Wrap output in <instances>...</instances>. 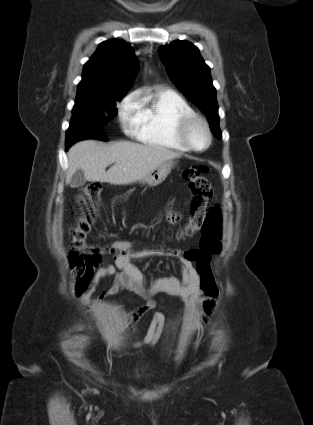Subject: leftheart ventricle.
<instances>
[{
  "mask_svg": "<svg viewBox=\"0 0 313 425\" xmlns=\"http://www.w3.org/2000/svg\"><path fill=\"white\" fill-rule=\"evenodd\" d=\"M189 138L194 146L203 148L207 144V135L204 128L197 124L189 132Z\"/></svg>",
  "mask_w": 313,
  "mask_h": 425,
  "instance_id": "b2bd125f",
  "label": "left heart ventricle"
}]
</instances>
